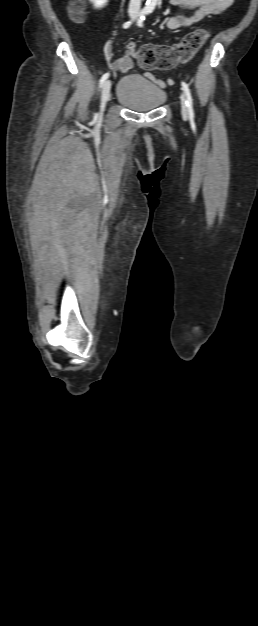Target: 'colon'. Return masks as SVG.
Here are the masks:
<instances>
[{
    "instance_id": "1",
    "label": "colon",
    "mask_w": 258,
    "mask_h": 626,
    "mask_svg": "<svg viewBox=\"0 0 258 626\" xmlns=\"http://www.w3.org/2000/svg\"><path fill=\"white\" fill-rule=\"evenodd\" d=\"M70 15L73 20L82 21L83 8L80 0L71 3ZM208 35L207 30L199 29L186 35L181 42L172 46L146 44L136 49L135 44L131 42L127 45V49L129 53L137 57L142 68L166 70L177 63L190 60L203 46Z\"/></svg>"
}]
</instances>
